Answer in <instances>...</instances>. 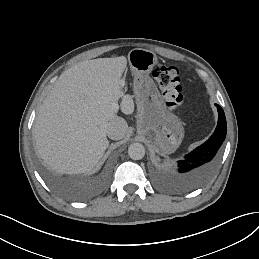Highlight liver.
<instances>
[{
  "label": "liver",
  "instance_id": "6515ba94",
  "mask_svg": "<svg viewBox=\"0 0 259 259\" xmlns=\"http://www.w3.org/2000/svg\"><path fill=\"white\" fill-rule=\"evenodd\" d=\"M126 65L125 56L80 62L60 75L44 99L32 135L36 153L56 172H89L103 157L107 124L120 118ZM121 109H127L126 102Z\"/></svg>",
  "mask_w": 259,
  "mask_h": 259
}]
</instances>
